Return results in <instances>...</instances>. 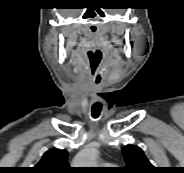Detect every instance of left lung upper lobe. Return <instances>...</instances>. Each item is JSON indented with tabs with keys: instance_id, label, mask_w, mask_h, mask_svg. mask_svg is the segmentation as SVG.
Instances as JSON below:
<instances>
[{
	"instance_id": "1",
	"label": "left lung upper lobe",
	"mask_w": 184,
	"mask_h": 173,
	"mask_svg": "<svg viewBox=\"0 0 184 173\" xmlns=\"http://www.w3.org/2000/svg\"><path fill=\"white\" fill-rule=\"evenodd\" d=\"M127 167L125 173H153L154 167L147 160L144 152L137 146L128 145L122 149Z\"/></svg>"
}]
</instances>
